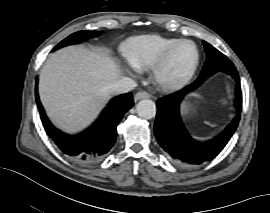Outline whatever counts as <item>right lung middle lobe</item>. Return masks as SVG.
Wrapping results in <instances>:
<instances>
[{"instance_id": "dd1d6c3e", "label": "right lung middle lobe", "mask_w": 270, "mask_h": 213, "mask_svg": "<svg viewBox=\"0 0 270 213\" xmlns=\"http://www.w3.org/2000/svg\"><path fill=\"white\" fill-rule=\"evenodd\" d=\"M99 34L100 32H96V31H79V32L73 33L70 36H68L66 39H64L62 42H60L53 50H57L66 45L84 42L91 37L98 36Z\"/></svg>"}]
</instances>
